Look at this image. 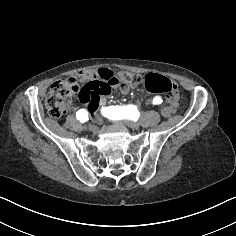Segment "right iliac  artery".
Masks as SVG:
<instances>
[{
    "label": "right iliac artery",
    "instance_id": "82829eb1",
    "mask_svg": "<svg viewBox=\"0 0 236 236\" xmlns=\"http://www.w3.org/2000/svg\"><path fill=\"white\" fill-rule=\"evenodd\" d=\"M76 118L81 123H84V122L88 121V112L85 109H80L76 112Z\"/></svg>",
    "mask_w": 236,
    "mask_h": 236
}]
</instances>
